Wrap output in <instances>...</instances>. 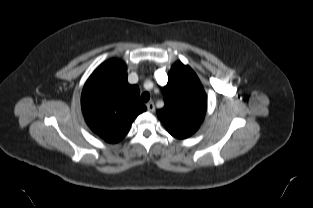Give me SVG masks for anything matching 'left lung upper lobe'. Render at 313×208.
Wrapping results in <instances>:
<instances>
[{"label": "left lung upper lobe", "instance_id": "1", "mask_svg": "<svg viewBox=\"0 0 313 208\" xmlns=\"http://www.w3.org/2000/svg\"><path fill=\"white\" fill-rule=\"evenodd\" d=\"M165 107L157 116L175 138L186 139L200 127L207 108V96L195 72L176 62L163 90Z\"/></svg>", "mask_w": 313, "mask_h": 208}]
</instances>
